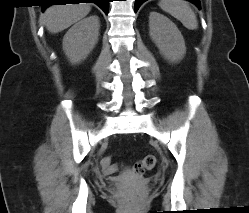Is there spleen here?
<instances>
[{"label": "spleen", "instance_id": "1", "mask_svg": "<svg viewBox=\"0 0 249 213\" xmlns=\"http://www.w3.org/2000/svg\"><path fill=\"white\" fill-rule=\"evenodd\" d=\"M159 6L162 10L181 21L187 29L195 30L198 28L196 14L188 2L184 0H161Z\"/></svg>", "mask_w": 249, "mask_h": 213}]
</instances>
